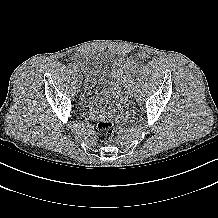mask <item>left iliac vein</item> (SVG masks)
I'll return each instance as SVG.
<instances>
[{
    "label": "left iliac vein",
    "mask_w": 218,
    "mask_h": 218,
    "mask_svg": "<svg viewBox=\"0 0 218 218\" xmlns=\"http://www.w3.org/2000/svg\"><path fill=\"white\" fill-rule=\"evenodd\" d=\"M127 95H132V90H127Z\"/></svg>",
    "instance_id": "obj_1"
}]
</instances>
